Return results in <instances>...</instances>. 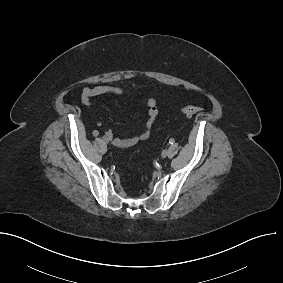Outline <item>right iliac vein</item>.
<instances>
[{"instance_id": "1", "label": "right iliac vein", "mask_w": 283, "mask_h": 283, "mask_svg": "<svg viewBox=\"0 0 283 283\" xmlns=\"http://www.w3.org/2000/svg\"><path fill=\"white\" fill-rule=\"evenodd\" d=\"M103 139H104V141H105L106 143H109V141H110V139H109L108 137H106V136H105Z\"/></svg>"}]
</instances>
